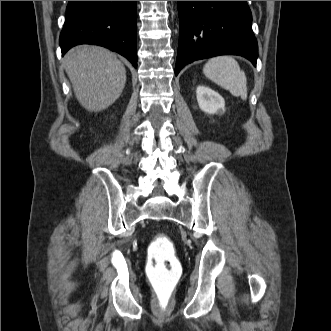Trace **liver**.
Wrapping results in <instances>:
<instances>
[{
	"mask_svg": "<svg viewBox=\"0 0 331 331\" xmlns=\"http://www.w3.org/2000/svg\"><path fill=\"white\" fill-rule=\"evenodd\" d=\"M63 63L77 100L88 111L108 108L124 89L125 67L105 48L76 46L66 53Z\"/></svg>",
	"mask_w": 331,
	"mask_h": 331,
	"instance_id": "liver-1",
	"label": "liver"
}]
</instances>
